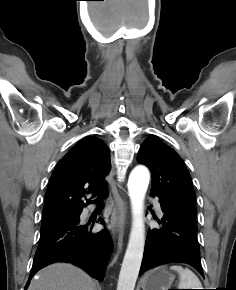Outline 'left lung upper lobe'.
Listing matches in <instances>:
<instances>
[{
	"label": "left lung upper lobe",
	"instance_id": "1",
	"mask_svg": "<svg viewBox=\"0 0 236 290\" xmlns=\"http://www.w3.org/2000/svg\"><path fill=\"white\" fill-rule=\"evenodd\" d=\"M137 161L151 171V194L176 215L197 226L194 188L179 155L156 136H150L140 147Z\"/></svg>",
	"mask_w": 236,
	"mask_h": 290
}]
</instances>
